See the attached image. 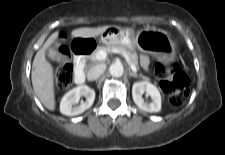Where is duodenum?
Wrapping results in <instances>:
<instances>
[{
    "mask_svg": "<svg viewBox=\"0 0 225 155\" xmlns=\"http://www.w3.org/2000/svg\"><path fill=\"white\" fill-rule=\"evenodd\" d=\"M75 56V75L74 80L77 84L85 81V63L86 58L93 51V46L87 42H78L74 48Z\"/></svg>",
    "mask_w": 225,
    "mask_h": 155,
    "instance_id": "duodenum-1",
    "label": "duodenum"
}]
</instances>
